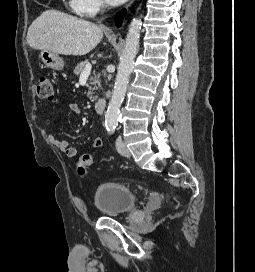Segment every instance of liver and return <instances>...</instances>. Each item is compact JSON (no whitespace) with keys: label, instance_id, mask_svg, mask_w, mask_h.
I'll list each match as a JSON object with an SVG mask.
<instances>
[{"label":"liver","instance_id":"obj_1","mask_svg":"<svg viewBox=\"0 0 255 272\" xmlns=\"http://www.w3.org/2000/svg\"><path fill=\"white\" fill-rule=\"evenodd\" d=\"M102 38L103 27L56 10L44 11L27 33L33 49L73 56L89 53Z\"/></svg>","mask_w":255,"mask_h":272}]
</instances>
